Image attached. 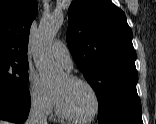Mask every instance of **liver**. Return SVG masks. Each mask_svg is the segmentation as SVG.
<instances>
[{"mask_svg": "<svg viewBox=\"0 0 156 124\" xmlns=\"http://www.w3.org/2000/svg\"><path fill=\"white\" fill-rule=\"evenodd\" d=\"M0 124H9V123H7L5 121H0Z\"/></svg>", "mask_w": 156, "mask_h": 124, "instance_id": "6515ba94", "label": "liver"}]
</instances>
